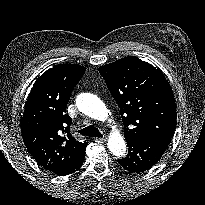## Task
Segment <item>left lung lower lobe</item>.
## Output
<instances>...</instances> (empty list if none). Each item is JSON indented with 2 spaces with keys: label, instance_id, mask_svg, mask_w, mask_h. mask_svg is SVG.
Returning a JSON list of instances; mask_svg holds the SVG:
<instances>
[{
  "label": "left lung lower lobe",
  "instance_id": "1",
  "mask_svg": "<svg viewBox=\"0 0 205 205\" xmlns=\"http://www.w3.org/2000/svg\"><path fill=\"white\" fill-rule=\"evenodd\" d=\"M171 138L166 136L145 139H127L129 154L119 160V164L128 171L141 173L157 163L165 152Z\"/></svg>",
  "mask_w": 205,
  "mask_h": 205
}]
</instances>
